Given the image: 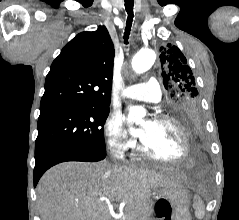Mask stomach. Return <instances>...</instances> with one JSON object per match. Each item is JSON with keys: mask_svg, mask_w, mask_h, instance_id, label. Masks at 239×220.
<instances>
[{"mask_svg": "<svg viewBox=\"0 0 239 220\" xmlns=\"http://www.w3.org/2000/svg\"><path fill=\"white\" fill-rule=\"evenodd\" d=\"M156 214L160 220H188L189 196L182 186H163L158 189Z\"/></svg>", "mask_w": 239, "mask_h": 220, "instance_id": "stomach-1", "label": "stomach"}]
</instances>
